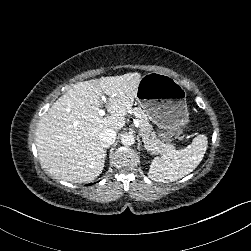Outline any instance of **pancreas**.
I'll list each match as a JSON object with an SVG mask.
<instances>
[{
    "label": "pancreas",
    "instance_id": "1",
    "mask_svg": "<svg viewBox=\"0 0 251 251\" xmlns=\"http://www.w3.org/2000/svg\"><path fill=\"white\" fill-rule=\"evenodd\" d=\"M132 113L139 121V134L148 150H151L154 154L162 155L174 150L173 145L164 143L157 138L147 115L140 107L133 108Z\"/></svg>",
    "mask_w": 251,
    "mask_h": 251
}]
</instances>
